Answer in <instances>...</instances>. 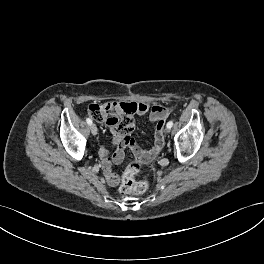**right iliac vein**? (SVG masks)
I'll return each mask as SVG.
<instances>
[{
  "instance_id": "1",
  "label": "right iliac vein",
  "mask_w": 264,
  "mask_h": 264,
  "mask_svg": "<svg viewBox=\"0 0 264 264\" xmlns=\"http://www.w3.org/2000/svg\"><path fill=\"white\" fill-rule=\"evenodd\" d=\"M90 130H91V133H92L93 135H97V133H98V129H97V126H96L95 124H91V125H90Z\"/></svg>"
}]
</instances>
